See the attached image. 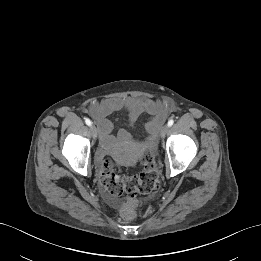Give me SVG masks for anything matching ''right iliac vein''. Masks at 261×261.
Returning a JSON list of instances; mask_svg holds the SVG:
<instances>
[{
    "instance_id": "right-iliac-vein-1",
    "label": "right iliac vein",
    "mask_w": 261,
    "mask_h": 261,
    "mask_svg": "<svg viewBox=\"0 0 261 261\" xmlns=\"http://www.w3.org/2000/svg\"><path fill=\"white\" fill-rule=\"evenodd\" d=\"M90 132L94 139L97 138L98 131L95 125H90Z\"/></svg>"
}]
</instances>
